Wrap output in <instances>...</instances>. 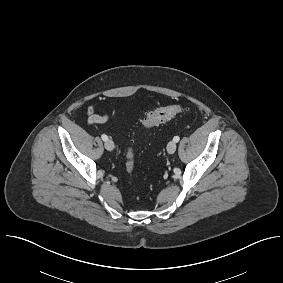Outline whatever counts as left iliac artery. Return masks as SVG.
Returning a JSON list of instances; mask_svg holds the SVG:
<instances>
[{
  "label": "left iliac artery",
  "mask_w": 283,
  "mask_h": 283,
  "mask_svg": "<svg viewBox=\"0 0 283 283\" xmlns=\"http://www.w3.org/2000/svg\"><path fill=\"white\" fill-rule=\"evenodd\" d=\"M173 140H174L175 142H178V141L180 140V138H179V136H175V137L173 138Z\"/></svg>",
  "instance_id": "1"
}]
</instances>
